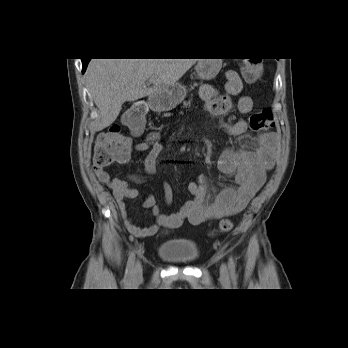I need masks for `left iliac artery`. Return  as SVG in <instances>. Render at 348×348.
I'll return each instance as SVG.
<instances>
[{
	"mask_svg": "<svg viewBox=\"0 0 348 348\" xmlns=\"http://www.w3.org/2000/svg\"><path fill=\"white\" fill-rule=\"evenodd\" d=\"M228 266L232 275V279L234 282H236V277H235V263L232 257L229 258Z\"/></svg>",
	"mask_w": 348,
	"mask_h": 348,
	"instance_id": "1",
	"label": "left iliac artery"
}]
</instances>
